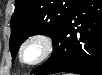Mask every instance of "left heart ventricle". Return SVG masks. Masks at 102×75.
Returning a JSON list of instances; mask_svg holds the SVG:
<instances>
[{
	"mask_svg": "<svg viewBox=\"0 0 102 75\" xmlns=\"http://www.w3.org/2000/svg\"><path fill=\"white\" fill-rule=\"evenodd\" d=\"M39 52V46L36 44L30 45L28 50H27V57L35 56Z\"/></svg>",
	"mask_w": 102,
	"mask_h": 75,
	"instance_id": "obj_1",
	"label": "left heart ventricle"
}]
</instances>
